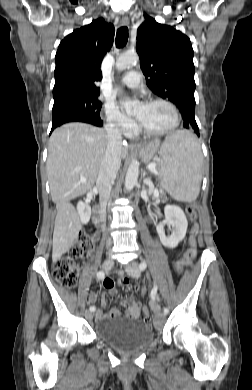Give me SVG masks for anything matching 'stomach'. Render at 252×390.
<instances>
[{
    "label": "stomach",
    "instance_id": "1",
    "mask_svg": "<svg viewBox=\"0 0 252 390\" xmlns=\"http://www.w3.org/2000/svg\"><path fill=\"white\" fill-rule=\"evenodd\" d=\"M159 149V143L158 142H153L150 143L146 146H141L138 148L139 155L141 159L147 163L149 162L156 154V152ZM162 149V148H161ZM161 149H160V154H161Z\"/></svg>",
    "mask_w": 252,
    "mask_h": 390
}]
</instances>
